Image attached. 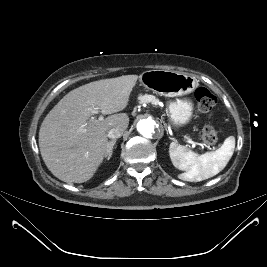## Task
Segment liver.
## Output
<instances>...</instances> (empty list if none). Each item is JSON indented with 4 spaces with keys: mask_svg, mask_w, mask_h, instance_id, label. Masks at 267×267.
I'll use <instances>...</instances> for the list:
<instances>
[{
    "mask_svg": "<svg viewBox=\"0 0 267 267\" xmlns=\"http://www.w3.org/2000/svg\"><path fill=\"white\" fill-rule=\"evenodd\" d=\"M138 75L94 81L66 94L44 118L39 130L41 156L51 173L67 183H83L93 177L108 153L107 133L128 127L124 110ZM89 108L110 115L100 121Z\"/></svg>",
    "mask_w": 267,
    "mask_h": 267,
    "instance_id": "6515ba94",
    "label": "liver"
}]
</instances>
